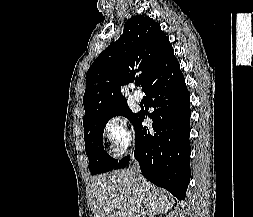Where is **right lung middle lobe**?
I'll return each instance as SVG.
<instances>
[{
  "instance_id": "1",
  "label": "right lung middle lobe",
  "mask_w": 253,
  "mask_h": 217,
  "mask_svg": "<svg viewBox=\"0 0 253 217\" xmlns=\"http://www.w3.org/2000/svg\"><path fill=\"white\" fill-rule=\"evenodd\" d=\"M137 115L138 113H132L125 102L83 123L85 149L89 158V170L92 175L110 171L118 162L103 149L102 135L106 123L115 116H124L133 123Z\"/></svg>"
}]
</instances>
